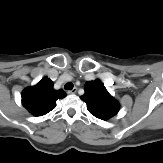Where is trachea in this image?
Returning a JSON list of instances; mask_svg holds the SVG:
<instances>
[{
    "instance_id": "3493384b",
    "label": "trachea",
    "mask_w": 163,
    "mask_h": 163,
    "mask_svg": "<svg viewBox=\"0 0 163 163\" xmlns=\"http://www.w3.org/2000/svg\"><path fill=\"white\" fill-rule=\"evenodd\" d=\"M64 89L72 90L73 89V83L72 82L66 83L64 86Z\"/></svg>"
}]
</instances>
